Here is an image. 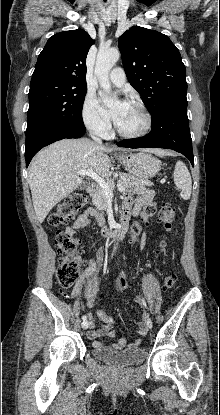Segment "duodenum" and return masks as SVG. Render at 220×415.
<instances>
[{"label": "duodenum", "instance_id": "410a0bca", "mask_svg": "<svg viewBox=\"0 0 220 415\" xmlns=\"http://www.w3.org/2000/svg\"><path fill=\"white\" fill-rule=\"evenodd\" d=\"M87 191L89 193H94L96 191V185L90 184L87 187ZM129 223V215L122 214L120 217L119 224L113 228H109L107 226H103V234L105 237L108 238H123L127 232Z\"/></svg>", "mask_w": 220, "mask_h": 415}]
</instances>
